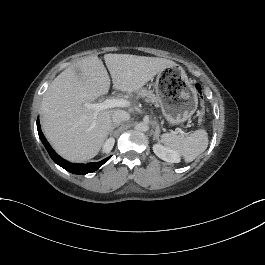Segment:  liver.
Listing matches in <instances>:
<instances>
[{
	"mask_svg": "<svg viewBox=\"0 0 265 265\" xmlns=\"http://www.w3.org/2000/svg\"><path fill=\"white\" fill-rule=\"evenodd\" d=\"M112 89L124 94L140 92L157 74L175 62L163 58L105 54ZM110 77L98 56L85 57L60 73L41 102L42 129L53 148L65 159L84 162L101 150L119 110L97 111L83 106L110 91Z\"/></svg>",
	"mask_w": 265,
	"mask_h": 265,
	"instance_id": "obj_1",
	"label": "liver"
}]
</instances>
